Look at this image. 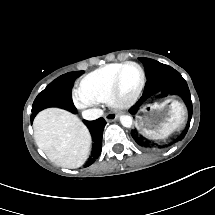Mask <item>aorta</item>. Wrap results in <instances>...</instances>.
I'll list each match as a JSON object with an SVG mask.
<instances>
[{
  "label": "aorta",
  "mask_w": 215,
  "mask_h": 215,
  "mask_svg": "<svg viewBox=\"0 0 215 215\" xmlns=\"http://www.w3.org/2000/svg\"><path fill=\"white\" fill-rule=\"evenodd\" d=\"M119 120L124 127H130L132 124V118L129 115L122 114L119 116Z\"/></svg>",
  "instance_id": "obj_1"
}]
</instances>
